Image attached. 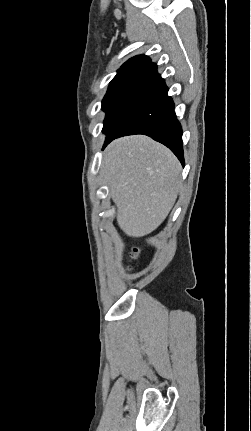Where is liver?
Segmentation results:
<instances>
[{
	"label": "liver",
	"mask_w": 251,
	"mask_h": 431,
	"mask_svg": "<svg viewBox=\"0 0 251 431\" xmlns=\"http://www.w3.org/2000/svg\"><path fill=\"white\" fill-rule=\"evenodd\" d=\"M180 173L174 154L147 136L122 137L107 146L101 176L127 236L143 237L162 224L181 189Z\"/></svg>",
	"instance_id": "obj_1"
}]
</instances>
